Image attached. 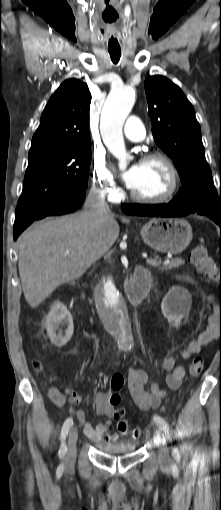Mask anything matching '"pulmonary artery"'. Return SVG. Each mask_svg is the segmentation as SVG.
Returning <instances> with one entry per match:
<instances>
[{"label":"pulmonary artery","instance_id":"e3ab8cb5","mask_svg":"<svg viewBox=\"0 0 221 510\" xmlns=\"http://www.w3.org/2000/svg\"><path fill=\"white\" fill-rule=\"evenodd\" d=\"M124 135L131 141L139 142L145 137L146 131L141 120L136 116H130L123 129Z\"/></svg>","mask_w":221,"mask_h":510}]
</instances>
